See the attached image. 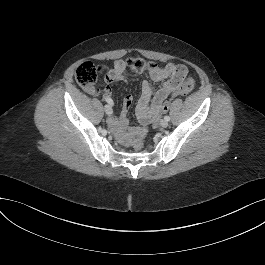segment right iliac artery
Segmentation results:
<instances>
[{"instance_id": "right-iliac-artery-1", "label": "right iliac artery", "mask_w": 265, "mask_h": 265, "mask_svg": "<svg viewBox=\"0 0 265 265\" xmlns=\"http://www.w3.org/2000/svg\"><path fill=\"white\" fill-rule=\"evenodd\" d=\"M106 102H107L108 104H110V105L113 104V101H112L111 99H107Z\"/></svg>"}]
</instances>
